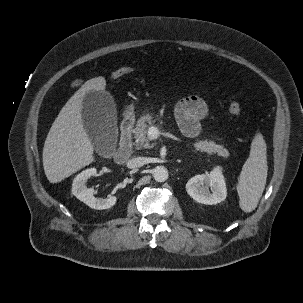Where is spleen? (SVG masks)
I'll return each mask as SVG.
<instances>
[{
	"label": "spleen",
	"instance_id": "3e777b00",
	"mask_svg": "<svg viewBox=\"0 0 303 303\" xmlns=\"http://www.w3.org/2000/svg\"><path fill=\"white\" fill-rule=\"evenodd\" d=\"M267 171V145L263 135L257 133L237 184L239 206L244 212L249 213L257 207L265 189Z\"/></svg>",
	"mask_w": 303,
	"mask_h": 303
}]
</instances>
